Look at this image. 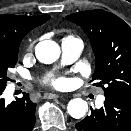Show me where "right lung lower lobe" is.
Returning a JSON list of instances; mask_svg holds the SVG:
<instances>
[{"instance_id": "right-lung-lower-lobe-1", "label": "right lung lower lobe", "mask_w": 131, "mask_h": 131, "mask_svg": "<svg viewBox=\"0 0 131 131\" xmlns=\"http://www.w3.org/2000/svg\"><path fill=\"white\" fill-rule=\"evenodd\" d=\"M0 90V131H31L35 125V108L27 93L6 105Z\"/></svg>"}]
</instances>
